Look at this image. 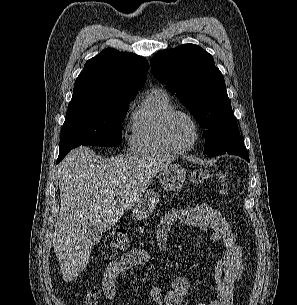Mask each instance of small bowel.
<instances>
[{
    "mask_svg": "<svg viewBox=\"0 0 297 305\" xmlns=\"http://www.w3.org/2000/svg\"><path fill=\"white\" fill-rule=\"evenodd\" d=\"M178 222L200 230H210L212 240L221 241L225 248L224 255L214 270L216 297L199 305H233L234 292L244 269L245 253L229 223L217 209L208 204L172 209L164 215L157 230V244L161 250L167 248L169 231ZM149 261L150 255L146 251L135 249L110 262L104 271L102 286L90 290L86 305H98L102 297L114 300L118 276ZM189 290L187 278L177 276L172 282L171 290L164 297L160 287L151 288L149 294L157 305H180Z\"/></svg>",
    "mask_w": 297,
    "mask_h": 305,
    "instance_id": "obj_1",
    "label": "small bowel"
}]
</instances>
